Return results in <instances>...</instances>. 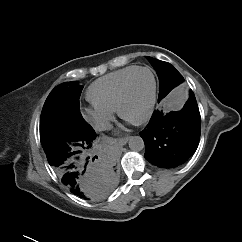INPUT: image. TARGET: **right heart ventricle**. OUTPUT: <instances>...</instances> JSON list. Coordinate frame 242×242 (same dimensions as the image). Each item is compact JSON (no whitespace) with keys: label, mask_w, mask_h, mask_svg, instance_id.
Listing matches in <instances>:
<instances>
[{"label":"right heart ventricle","mask_w":242,"mask_h":242,"mask_svg":"<svg viewBox=\"0 0 242 242\" xmlns=\"http://www.w3.org/2000/svg\"><path fill=\"white\" fill-rule=\"evenodd\" d=\"M136 68L137 66H127L97 79L87 90L88 100L99 108L116 110L123 82Z\"/></svg>","instance_id":"right-heart-ventricle-1"}]
</instances>
